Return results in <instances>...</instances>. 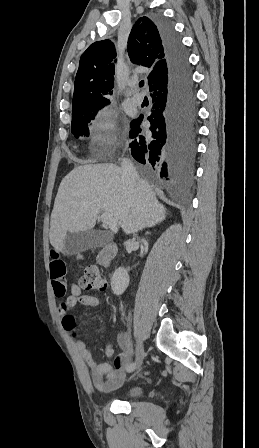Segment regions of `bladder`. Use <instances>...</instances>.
I'll list each match as a JSON object with an SVG mask.
<instances>
[{
    "label": "bladder",
    "instance_id": "bladder-1",
    "mask_svg": "<svg viewBox=\"0 0 259 448\" xmlns=\"http://www.w3.org/2000/svg\"><path fill=\"white\" fill-rule=\"evenodd\" d=\"M143 393V388L141 386H133L127 389L123 396L126 398H137Z\"/></svg>",
    "mask_w": 259,
    "mask_h": 448
}]
</instances>
